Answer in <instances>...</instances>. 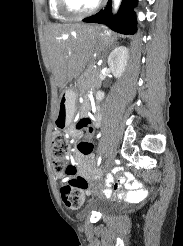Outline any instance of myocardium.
Wrapping results in <instances>:
<instances>
[{
  "label": "myocardium",
  "mask_w": 183,
  "mask_h": 246,
  "mask_svg": "<svg viewBox=\"0 0 183 246\" xmlns=\"http://www.w3.org/2000/svg\"><path fill=\"white\" fill-rule=\"evenodd\" d=\"M102 0H97L96 3L85 11H77L72 6L69 0H58L60 11L66 16L74 19L84 18L95 13L101 6Z\"/></svg>",
  "instance_id": "1"
}]
</instances>
